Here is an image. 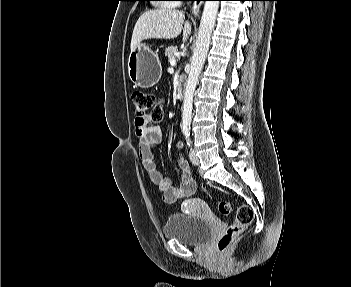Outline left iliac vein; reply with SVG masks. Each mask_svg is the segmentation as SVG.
<instances>
[{"label": "left iliac vein", "mask_w": 351, "mask_h": 287, "mask_svg": "<svg viewBox=\"0 0 351 287\" xmlns=\"http://www.w3.org/2000/svg\"><path fill=\"white\" fill-rule=\"evenodd\" d=\"M189 158H190L191 163L194 166L199 165V158L197 157V155L195 154L194 150H192V149L190 150Z\"/></svg>", "instance_id": "obj_1"}]
</instances>
